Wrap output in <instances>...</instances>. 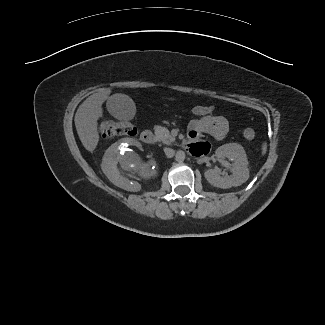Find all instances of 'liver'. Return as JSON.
I'll return each mask as SVG.
<instances>
[{
  "instance_id": "liver-1",
  "label": "liver",
  "mask_w": 325,
  "mask_h": 325,
  "mask_svg": "<svg viewBox=\"0 0 325 325\" xmlns=\"http://www.w3.org/2000/svg\"><path fill=\"white\" fill-rule=\"evenodd\" d=\"M111 89L103 88L97 93L89 96L77 109L74 122L78 136L89 152H93L100 140L98 133V120L103 117L102 104L107 100L118 101L120 98H127L133 100L125 94H114L109 96ZM134 103V102H133Z\"/></svg>"
}]
</instances>
